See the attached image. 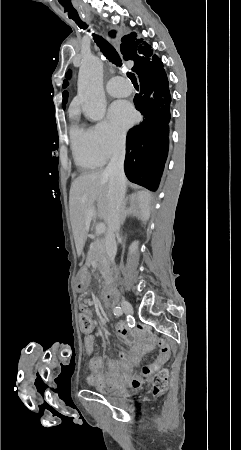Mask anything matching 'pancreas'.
Masks as SVG:
<instances>
[{
    "mask_svg": "<svg viewBox=\"0 0 241 450\" xmlns=\"http://www.w3.org/2000/svg\"><path fill=\"white\" fill-rule=\"evenodd\" d=\"M88 260V264H91L93 268H99L102 274V278L103 280H105L106 286L107 284H110V274L106 266L107 262L102 240H96V242H93V244H91Z\"/></svg>",
    "mask_w": 241,
    "mask_h": 450,
    "instance_id": "pancreas-1",
    "label": "pancreas"
}]
</instances>
